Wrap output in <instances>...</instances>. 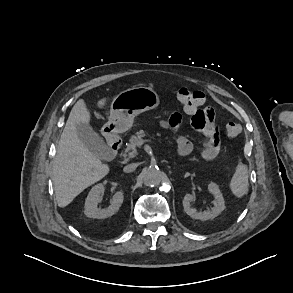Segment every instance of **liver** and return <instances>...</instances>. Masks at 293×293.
I'll return each instance as SVG.
<instances>
[{"mask_svg": "<svg viewBox=\"0 0 293 293\" xmlns=\"http://www.w3.org/2000/svg\"><path fill=\"white\" fill-rule=\"evenodd\" d=\"M106 102L107 98L99 100L97 107L104 108ZM90 118L85 101L80 99L73 106L58 143L52 174L56 200L61 208L110 171L107 164L84 146L77 134V124H89Z\"/></svg>", "mask_w": 293, "mask_h": 293, "instance_id": "liver-1", "label": "liver"}]
</instances>
